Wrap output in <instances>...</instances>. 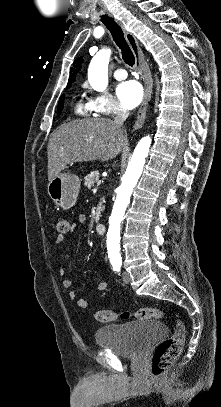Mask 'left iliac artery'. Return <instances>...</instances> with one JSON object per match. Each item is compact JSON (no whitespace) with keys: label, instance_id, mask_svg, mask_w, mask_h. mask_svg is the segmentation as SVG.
<instances>
[{"label":"left iliac artery","instance_id":"left-iliac-artery-1","mask_svg":"<svg viewBox=\"0 0 221 407\" xmlns=\"http://www.w3.org/2000/svg\"><path fill=\"white\" fill-rule=\"evenodd\" d=\"M120 267H121V265H120V264L113 265V269H114V271H117V272H119V271H120Z\"/></svg>","mask_w":221,"mask_h":407}]
</instances>
